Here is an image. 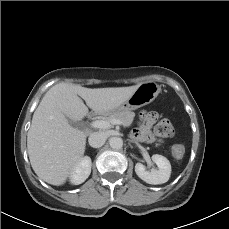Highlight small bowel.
Listing matches in <instances>:
<instances>
[{
	"instance_id": "obj_1",
	"label": "small bowel",
	"mask_w": 229,
	"mask_h": 229,
	"mask_svg": "<svg viewBox=\"0 0 229 229\" xmlns=\"http://www.w3.org/2000/svg\"><path fill=\"white\" fill-rule=\"evenodd\" d=\"M159 116L155 112H147L144 111L141 114V125L138 129L135 130V136L140 141L148 140L150 137V128L153 126V124L156 123ZM177 147H183L181 144H177L173 147V150Z\"/></svg>"
}]
</instances>
